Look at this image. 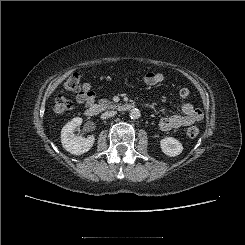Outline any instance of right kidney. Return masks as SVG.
I'll use <instances>...</instances> for the list:
<instances>
[{
    "mask_svg": "<svg viewBox=\"0 0 245 245\" xmlns=\"http://www.w3.org/2000/svg\"><path fill=\"white\" fill-rule=\"evenodd\" d=\"M82 118L76 117L69 121L61 131V143L63 148L73 155H81L88 152L94 142L95 137L83 138L74 134V129L82 124Z\"/></svg>",
    "mask_w": 245,
    "mask_h": 245,
    "instance_id": "right-kidney-1",
    "label": "right kidney"
}]
</instances>
